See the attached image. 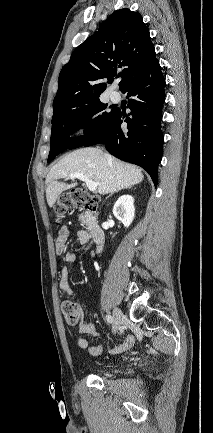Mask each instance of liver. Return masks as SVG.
Returning <instances> with one entry per match:
<instances>
[{"label": "liver", "instance_id": "1", "mask_svg": "<svg viewBox=\"0 0 213 433\" xmlns=\"http://www.w3.org/2000/svg\"><path fill=\"white\" fill-rule=\"evenodd\" d=\"M71 173H82L97 184V190L105 195L140 183L144 176L135 165L106 155L94 147L75 150L49 171L46 177L47 203L52 207L59 195L77 185V182L66 184L59 179H69Z\"/></svg>", "mask_w": 213, "mask_h": 433}]
</instances>
